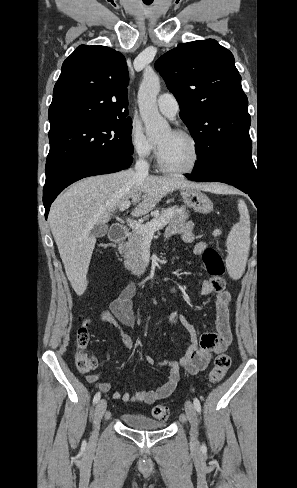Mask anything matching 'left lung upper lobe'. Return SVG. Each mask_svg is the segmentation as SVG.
I'll use <instances>...</instances> for the list:
<instances>
[{"label": "left lung upper lobe", "mask_w": 297, "mask_h": 488, "mask_svg": "<svg viewBox=\"0 0 297 488\" xmlns=\"http://www.w3.org/2000/svg\"><path fill=\"white\" fill-rule=\"evenodd\" d=\"M155 68L197 143L193 171L234 167L255 177L248 99L232 53L213 39L188 42L161 56Z\"/></svg>", "instance_id": "5c2ea615"}]
</instances>
